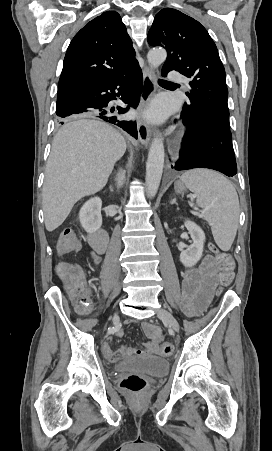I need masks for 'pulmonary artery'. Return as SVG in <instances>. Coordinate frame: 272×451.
<instances>
[{"mask_svg":"<svg viewBox=\"0 0 272 451\" xmlns=\"http://www.w3.org/2000/svg\"><path fill=\"white\" fill-rule=\"evenodd\" d=\"M170 75H171L170 78H171L172 81H174V82H178V81H180V80L183 78V77L180 75L179 70H177V69L171 70Z\"/></svg>","mask_w":272,"mask_h":451,"instance_id":"e3ab8cb5","label":"pulmonary artery"}]
</instances>
